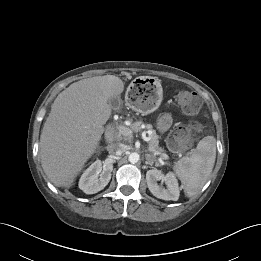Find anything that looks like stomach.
Segmentation results:
<instances>
[{
    "instance_id": "1",
    "label": "stomach",
    "mask_w": 261,
    "mask_h": 261,
    "mask_svg": "<svg viewBox=\"0 0 261 261\" xmlns=\"http://www.w3.org/2000/svg\"><path fill=\"white\" fill-rule=\"evenodd\" d=\"M163 100L160 81L152 77H140L129 86L127 104L136 112L148 115L157 110Z\"/></svg>"
}]
</instances>
